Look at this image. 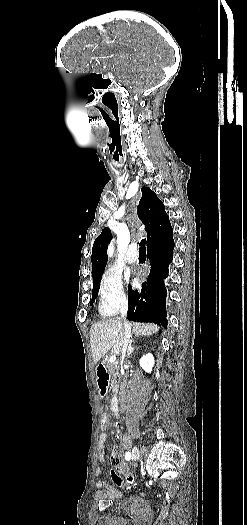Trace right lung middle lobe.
<instances>
[{"instance_id": "dd1d6c3e", "label": "right lung middle lobe", "mask_w": 247, "mask_h": 525, "mask_svg": "<svg viewBox=\"0 0 247 525\" xmlns=\"http://www.w3.org/2000/svg\"><path fill=\"white\" fill-rule=\"evenodd\" d=\"M102 274L100 275H93V289H92V301L91 304L95 301V298L97 296L98 287L100 284Z\"/></svg>"}]
</instances>
